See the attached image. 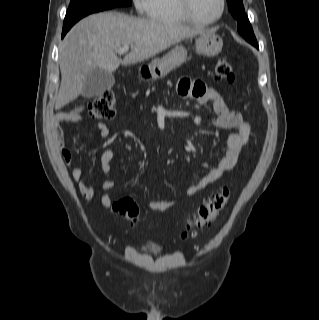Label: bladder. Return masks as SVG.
<instances>
[{"mask_svg":"<svg viewBox=\"0 0 319 320\" xmlns=\"http://www.w3.org/2000/svg\"><path fill=\"white\" fill-rule=\"evenodd\" d=\"M162 246L158 243H149L144 247V250L148 253H157L161 251Z\"/></svg>","mask_w":319,"mask_h":320,"instance_id":"31cf9c89","label":"bladder"}]
</instances>
